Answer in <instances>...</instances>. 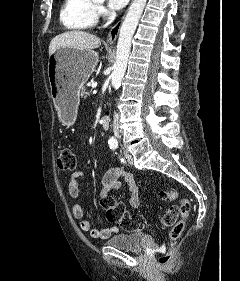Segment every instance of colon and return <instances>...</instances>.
<instances>
[{
	"label": "colon",
	"mask_w": 240,
	"mask_h": 281,
	"mask_svg": "<svg viewBox=\"0 0 240 281\" xmlns=\"http://www.w3.org/2000/svg\"><path fill=\"white\" fill-rule=\"evenodd\" d=\"M57 166L62 171H73L76 168L74 152L69 148L62 149L57 158ZM159 196L164 201L174 203L163 216V224L172 226L169 232V240L173 246L182 236L191 205L188 199L179 197L175 190H161ZM100 204L105 209L108 220L117 223L128 232L143 230L147 227V221L143 216L127 212L122 203H118L110 197L100 200ZM170 258V251H163L157 259V264L165 266L169 263Z\"/></svg>",
	"instance_id": "5ec220e1"
}]
</instances>
